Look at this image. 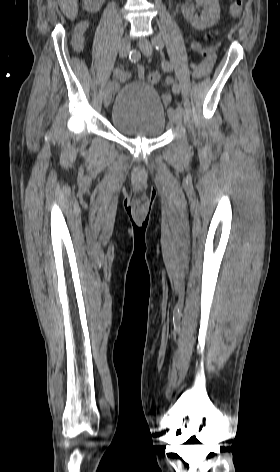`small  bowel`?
<instances>
[{
  "label": "small bowel",
  "mask_w": 280,
  "mask_h": 472,
  "mask_svg": "<svg viewBox=\"0 0 280 472\" xmlns=\"http://www.w3.org/2000/svg\"><path fill=\"white\" fill-rule=\"evenodd\" d=\"M87 27H88L87 22H81L75 28L72 43H73V46H74L75 50H77V51H81L83 49V46H84V36H83V34L86 31ZM214 63H215V56L213 54H211V55L207 56L201 62L192 65V72H193L194 78L200 79V78H203L206 75H208L211 72V70L214 66ZM137 74H138V77L140 79H144L145 69H144L143 65H138L137 66ZM127 78H128V74H126V78L123 79L122 81L126 80ZM171 82H172V79L168 77L164 80V85H170ZM162 99L165 103H170L171 102V96L169 94H163Z\"/></svg>",
  "instance_id": "small-bowel-1"
}]
</instances>
